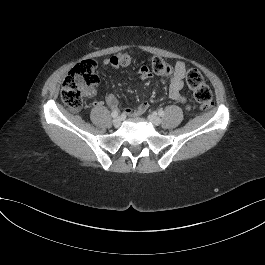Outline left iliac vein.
I'll return each instance as SVG.
<instances>
[{
  "instance_id": "left-iliac-vein-1",
  "label": "left iliac vein",
  "mask_w": 265,
  "mask_h": 265,
  "mask_svg": "<svg viewBox=\"0 0 265 265\" xmlns=\"http://www.w3.org/2000/svg\"><path fill=\"white\" fill-rule=\"evenodd\" d=\"M148 119L151 123H153L154 125L158 126L161 124V118L159 116H157L156 114H150L148 116Z\"/></svg>"
}]
</instances>
